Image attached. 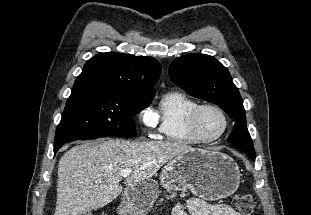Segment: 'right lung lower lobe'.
<instances>
[{"mask_svg": "<svg viewBox=\"0 0 311 215\" xmlns=\"http://www.w3.org/2000/svg\"><path fill=\"white\" fill-rule=\"evenodd\" d=\"M63 144L64 143L56 145L55 148H54V153H56L63 146Z\"/></svg>", "mask_w": 311, "mask_h": 215, "instance_id": "right-lung-lower-lobe-1", "label": "right lung lower lobe"}]
</instances>
